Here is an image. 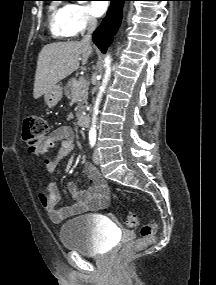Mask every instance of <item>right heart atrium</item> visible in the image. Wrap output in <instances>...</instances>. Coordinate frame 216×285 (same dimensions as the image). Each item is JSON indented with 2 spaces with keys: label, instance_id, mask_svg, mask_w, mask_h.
<instances>
[{
  "label": "right heart atrium",
  "instance_id": "obj_1",
  "mask_svg": "<svg viewBox=\"0 0 216 285\" xmlns=\"http://www.w3.org/2000/svg\"><path fill=\"white\" fill-rule=\"evenodd\" d=\"M68 19L74 34H79L96 24L90 8L83 3L73 2L67 5Z\"/></svg>",
  "mask_w": 216,
  "mask_h": 285
}]
</instances>
